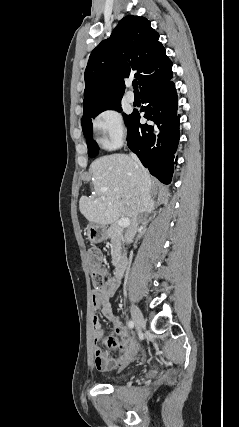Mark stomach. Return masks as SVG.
<instances>
[{
	"instance_id": "0dacf381",
	"label": "stomach",
	"mask_w": 239,
	"mask_h": 427,
	"mask_svg": "<svg viewBox=\"0 0 239 427\" xmlns=\"http://www.w3.org/2000/svg\"><path fill=\"white\" fill-rule=\"evenodd\" d=\"M87 236L91 243H100L108 238L107 228L101 224L91 223L87 227Z\"/></svg>"
}]
</instances>
